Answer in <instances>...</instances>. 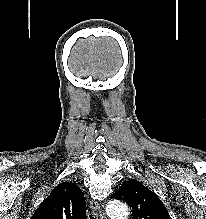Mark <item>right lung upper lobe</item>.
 <instances>
[{
  "instance_id": "right-lung-upper-lobe-1",
  "label": "right lung upper lobe",
  "mask_w": 206,
  "mask_h": 219,
  "mask_svg": "<svg viewBox=\"0 0 206 219\" xmlns=\"http://www.w3.org/2000/svg\"><path fill=\"white\" fill-rule=\"evenodd\" d=\"M31 219H86L84 194L75 184L60 183L42 202Z\"/></svg>"
}]
</instances>
